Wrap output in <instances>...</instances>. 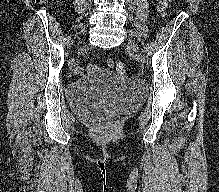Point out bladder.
I'll return each mask as SVG.
<instances>
[{
	"instance_id": "bladder-1",
	"label": "bladder",
	"mask_w": 219,
	"mask_h": 192,
	"mask_svg": "<svg viewBox=\"0 0 219 192\" xmlns=\"http://www.w3.org/2000/svg\"><path fill=\"white\" fill-rule=\"evenodd\" d=\"M146 94L144 84L107 72L93 79L81 78L67 88L71 110L92 120L108 119L139 104Z\"/></svg>"
}]
</instances>
